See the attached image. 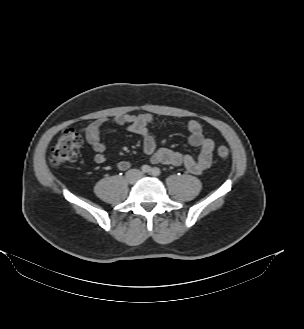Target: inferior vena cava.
Instances as JSON below:
<instances>
[{
	"instance_id": "602c4592",
	"label": "inferior vena cava",
	"mask_w": 304,
	"mask_h": 329,
	"mask_svg": "<svg viewBox=\"0 0 304 329\" xmlns=\"http://www.w3.org/2000/svg\"><path fill=\"white\" fill-rule=\"evenodd\" d=\"M126 175L129 178H132L133 180H138L139 178H141L142 172L137 169H131L126 173Z\"/></svg>"
}]
</instances>
